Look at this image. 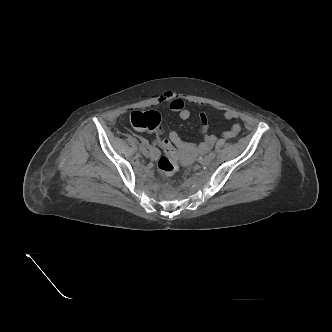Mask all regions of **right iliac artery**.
Listing matches in <instances>:
<instances>
[{"instance_id":"82829eb1","label":"right iliac artery","mask_w":332,"mask_h":332,"mask_svg":"<svg viewBox=\"0 0 332 332\" xmlns=\"http://www.w3.org/2000/svg\"><path fill=\"white\" fill-rule=\"evenodd\" d=\"M141 145L148 146V143L145 140L141 139Z\"/></svg>"}]
</instances>
